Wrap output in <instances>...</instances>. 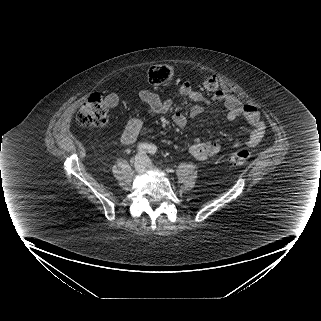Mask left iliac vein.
Instances as JSON below:
<instances>
[{
    "label": "left iliac vein",
    "mask_w": 321,
    "mask_h": 321,
    "mask_svg": "<svg viewBox=\"0 0 321 321\" xmlns=\"http://www.w3.org/2000/svg\"><path fill=\"white\" fill-rule=\"evenodd\" d=\"M146 166H147V168H152L151 162L147 161V162H146Z\"/></svg>",
    "instance_id": "left-iliac-vein-1"
}]
</instances>
